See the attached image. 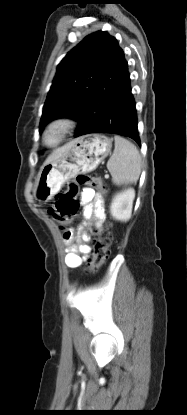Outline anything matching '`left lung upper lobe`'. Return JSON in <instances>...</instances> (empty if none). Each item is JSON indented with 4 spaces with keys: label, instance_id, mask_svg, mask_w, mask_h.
Here are the masks:
<instances>
[{
    "label": "left lung upper lobe",
    "instance_id": "obj_1",
    "mask_svg": "<svg viewBox=\"0 0 187 415\" xmlns=\"http://www.w3.org/2000/svg\"><path fill=\"white\" fill-rule=\"evenodd\" d=\"M116 43L107 32L98 31L85 37L62 59L43 107L40 132L56 118L81 122L87 115L95 114L96 107L90 98Z\"/></svg>",
    "mask_w": 187,
    "mask_h": 415
}]
</instances>
